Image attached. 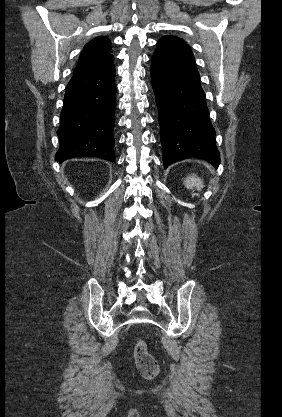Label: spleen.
I'll list each match as a JSON object with an SVG mask.
<instances>
[{"label":"spleen","instance_id":"3e777b00","mask_svg":"<svg viewBox=\"0 0 282 417\" xmlns=\"http://www.w3.org/2000/svg\"><path fill=\"white\" fill-rule=\"evenodd\" d=\"M202 182V178H199V176H196V174H193V176H187V178L184 180V184L187 186V188H194L195 186L197 190H201L203 186Z\"/></svg>","mask_w":282,"mask_h":417}]
</instances>
